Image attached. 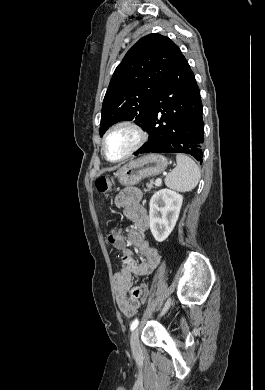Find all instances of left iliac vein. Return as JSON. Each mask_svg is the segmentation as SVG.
Listing matches in <instances>:
<instances>
[{
	"instance_id": "4c4485c4",
	"label": "left iliac vein",
	"mask_w": 265,
	"mask_h": 390,
	"mask_svg": "<svg viewBox=\"0 0 265 390\" xmlns=\"http://www.w3.org/2000/svg\"><path fill=\"white\" fill-rule=\"evenodd\" d=\"M170 304H171V299H168V301L166 302L163 308V313H165L169 309ZM139 333L140 330L139 328H137L132 332L130 337L131 351L134 356L140 355V351H141L140 344H139Z\"/></svg>"
}]
</instances>
